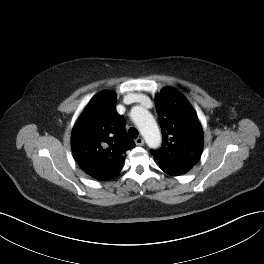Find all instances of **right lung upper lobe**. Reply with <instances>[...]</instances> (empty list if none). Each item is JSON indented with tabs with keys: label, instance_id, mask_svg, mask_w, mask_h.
Segmentation results:
<instances>
[{
	"label": "right lung upper lobe",
	"instance_id": "right-lung-upper-lobe-1",
	"mask_svg": "<svg viewBox=\"0 0 264 264\" xmlns=\"http://www.w3.org/2000/svg\"><path fill=\"white\" fill-rule=\"evenodd\" d=\"M72 152L90 176L109 180L121 170L126 151L135 143L125 130V119L116 111V94L95 96L78 118L72 132Z\"/></svg>",
	"mask_w": 264,
	"mask_h": 264
}]
</instances>
